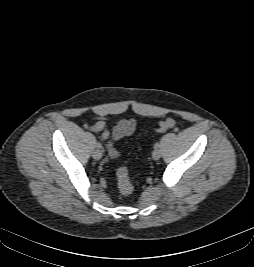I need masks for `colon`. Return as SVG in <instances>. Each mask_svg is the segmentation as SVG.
<instances>
[{"mask_svg":"<svg viewBox=\"0 0 254 267\" xmlns=\"http://www.w3.org/2000/svg\"><path fill=\"white\" fill-rule=\"evenodd\" d=\"M174 124H175L174 119L167 118L158 124L156 131L160 133L165 132L171 129L174 126ZM116 175H117V180H118V189L120 193L123 195L132 194L134 187L129 176L128 168L127 167L118 168Z\"/></svg>","mask_w":254,"mask_h":267,"instance_id":"1","label":"colon"}]
</instances>
